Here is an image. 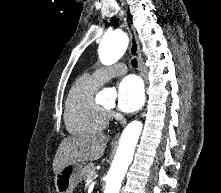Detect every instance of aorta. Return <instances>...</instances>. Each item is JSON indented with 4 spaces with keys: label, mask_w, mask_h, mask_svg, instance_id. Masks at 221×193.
<instances>
[{
    "label": "aorta",
    "mask_w": 221,
    "mask_h": 193,
    "mask_svg": "<svg viewBox=\"0 0 221 193\" xmlns=\"http://www.w3.org/2000/svg\"><path fill=\"white\" fill-rule=\"evenodd\" d=\"M128 47V37L123 31H113L104 35L99 45V56L103 63L112 64L119 60ZM103 96L112 95L104 89ZM143 124L140 121L129 123L123 130L112 166L106 176L104 193H119L123 178L130 166Z\"/></svg>",
    "instance_id": "762f6f07"
}]
</instances>
